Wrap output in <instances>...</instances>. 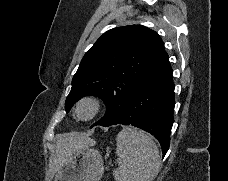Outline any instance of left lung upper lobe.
Instances as JSON below:
<instances>
[{"instance_id":"5c2ea615","label":"left lung upper lobe","mask_w":228,"mask_h":181,"mask_svg":"<svg viewBox=\"0 0 228 181\" xmlns=\"http://www.w3.org/2000/svg\"><path fill=\"white\" fill-rule=\"evenodd\" d=\"M164 53L160 36L142 25L107 31L84 55L72 79L66 111L84 96H97L105 102L107 110L93 126L113 125L124 116L143 73Z\"/></svg>"}]
</instances>
